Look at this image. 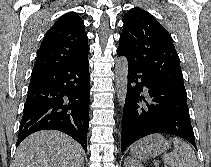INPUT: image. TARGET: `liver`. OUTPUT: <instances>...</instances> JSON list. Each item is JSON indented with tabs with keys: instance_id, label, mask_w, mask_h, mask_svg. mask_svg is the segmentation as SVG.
<instances>
[{
	"instance_id": "obj_1",
	"label": "liver",
	"mask_w": 211,
	"mask_h": 167,
	"mask_svg": "<svg viewBox=\"0 0 211 167\" xmlns=\"http://www.w3.org/2000/svg\"><path fill=\"white\" fill-rule=\"evenodd\" d=\"M84 150L64 133L45 130L28 136L17 148L13 167H81Z\"/></svg>"
}]
</instances>
